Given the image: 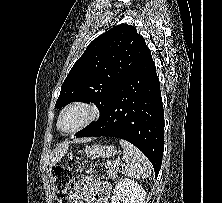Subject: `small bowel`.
<instances>
[{
    "label": "small bowel",
    "instance_id": "small-bowel-1",
    "mask_svg": "<svg viewBox=\"0 0 222 203\" xmlns=\"http://www.w3.org/2000/svg\"><path fill=\"white\" fill-rule=\"evenodd\" d=\"M110 187L96 178L80 179L75 185L73 203H108Z\"/></svg>",
    "mask_w": 222,
    "mask_h": 203
}]
</instances>
